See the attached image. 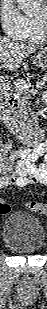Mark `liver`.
<instances>
[{"instance_id":"liver-1","label":"liver","mask_w":47,"mask_h":309,"mask_svg":"<svg viewBox=\"0 0 47 309\" xmlns=\"http://www.w3.org/2000/svg\"><path fill=\"white\" fill-rule=\"evenodd\" d=\"M39 46L33 43H20L0 37V64L7 71H17L22 61L34 53Z\"/></svg>"}]
</instances>
